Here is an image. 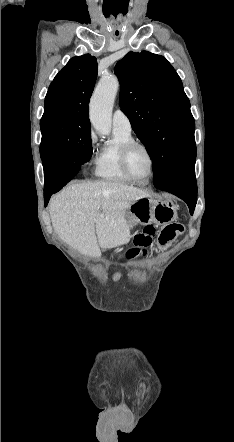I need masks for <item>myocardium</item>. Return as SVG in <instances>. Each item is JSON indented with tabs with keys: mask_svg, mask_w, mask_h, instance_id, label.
I'll return each mask as SVG.
<instances>
[{
	"mask_svg": "<svg viewBox=\"0 0 234 442\" xmlns=\"http://www.w3.org/2000/svg\"><path fill=\"white\" fill-rule=\"evenodd\" d=\"M135 147L142 148L147 153L148 158L150 160V169H151V171H150L149 177L145 181L137 179L131 173L130 168H129V162H128L129 154H130L131 150L133 148H135ZM120 164H121V168H122L123 172L125 173V175L131 181H133V182H135L137 184H141V185L148 184L152 180V178L154 177V174H155V159H154V156H153L150 148L146 144H144V143H142L140 141L131 140V141L126 142L122 146L121 152H120Z\"/></svg>",
	"mask_w": 234,
	"mask_h": 442,
	"instance_id": "1",
	"label": "myocardium"
}]
</instances>
